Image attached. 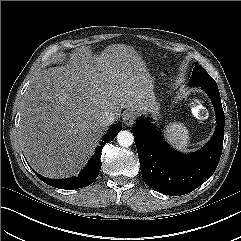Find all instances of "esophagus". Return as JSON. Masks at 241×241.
Masks as SVG:
<instances>
[{
    "instance_id": "1",
    "label": "esophagus",
    "mask_w": 241,
    "mask_h": 241,
    "mask_svg": "<svg viewBox=\"0 0 241 241\" xmlns=\"http://www.w3.org/2000/svg\"><path fill=\"white\" fill-rule=\"evenodd\" d=\"M136 115L133 111H128L123 116V122L126 126L130 127L135 123Z\"/></svg>"
}]
</instances>
